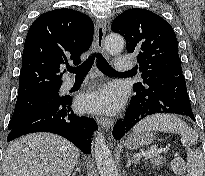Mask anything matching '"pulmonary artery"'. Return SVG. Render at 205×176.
Masks as SVG:
<instances>
[{
    "instance_id": "obj_1",
    "label": "pulmonary artery",
    "mask_w": 205,
    "mask_h": 176,
    "mask_svg": "<svg viewBox=\"0 0 205 176\" xmlns=\"http://www.w3.org/2000/svg\"><path fill=\"white\" fill-rule=\"evenodd\" d=\"M134 67L132 61H131V56L127 54H122L118 57L117 59V66L116 69L118 71H128L131 70ZM74 82L72 79H67L63 87L64 89H69L73 86Z\"/></svg>"
}]
</instances>
